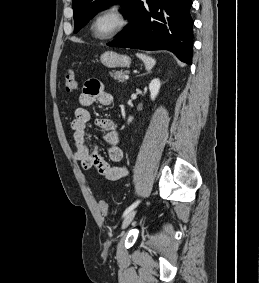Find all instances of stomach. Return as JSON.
Segmentation results:
<instances>
[{
  "label": "stomach",
  "instance_id": "1",
  "mask_svg": "<svg viewBox=\"0 0 259 283\" xmlns=\"http://www.w3.org/2000/svg\"><path fill=\"white\" fill-rule=\"evenodd\" d=\"M103 65L106 67H128L131 63V59L127 55L118 54L113 51H106L100 57Z\"/></svg>",
  "mask_w": 259,
  "mask_h": 283
}]
</instances>
